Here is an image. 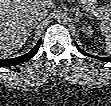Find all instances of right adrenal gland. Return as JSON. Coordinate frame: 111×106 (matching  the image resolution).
I'll return each mask as SVG.
<instances>
[{"label": "right adrenal gland", "mask_w": 111, "mask_h": 106, "mask_svg": "<svg viewBox=\"0 0 111 106\" xmlns=\"http://www.w3.org/2000/svg\"><path fill=\"white\" fill-rule=\"evenodd\" d=\"M37 24H38V22L35 21L34 24L32 25V30H31V33H30L31 35H32V32H33V29L35 28V26H36Z\"/></svg>", "instance_id": "right-adrenal-gland-1"}]
</instances>
